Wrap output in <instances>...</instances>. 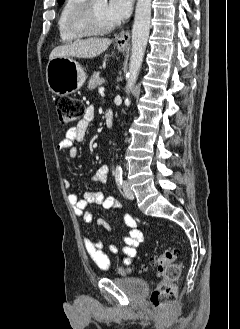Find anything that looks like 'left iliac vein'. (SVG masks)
Segmentation results:
<instances>
[{
  "instance_id": "1",
  "label": "left iliac vein",
  "mask_w": 240,
  "mask_h": 329,
  "mask_svg": "<svg viewBox=\"0 0 240 329\" xmlns=\"http://www.w3.org/2000/svg\"><path fill=\"white\" fill-rule=\"evenodd\" d=\"M123 190H124V194L125 196L130 199V200H133L134 199V193L132 191V189L130 188L129 184L125 181L123 183Z\"/></svg>"
}]
</instances>
